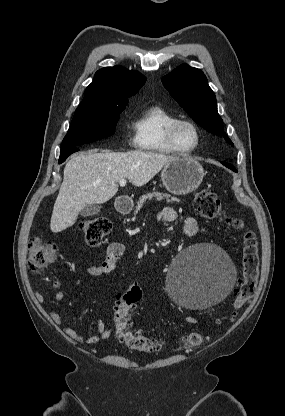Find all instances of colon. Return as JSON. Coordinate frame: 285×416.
Returning <instances> with one entry per match:
<instances>
[{
    "label": "colon",
    "mask_w": 285,
    "mask_h": 416,
    "mask_svg": "<svg viewBox=\"0 0 285 416\" xmlns=\"http://www.w3.org/2000/svg\"><path fill=\"white\" fill-rule=\"evenodd\" d=\"M197 213L208 220H223L235 228L242 229L243 223L234 218H224L221 202L216 193L209 188L198 191L193 199ZM86 243L95 247L111 230V222L107 218L94 217L84 219L79 224ZM28 268L34 275H40L52 265L58 256L57 245L53 241L44 240L40 236H32L28 245ZM260 273L259 248L252 231L243 233V276L235 293L232 308L236 312L254 295ZM142 298V289L135 284L128 286L118 298L114 306L115 334L117 339L131 350L152 353L160 350L161 342L134 330L131 315L135 306ZM205 335L191 332L184 338L185 347L199 346L205 341Z\"/></svg>",
    "instance_id": "1"
}]
</instances>
